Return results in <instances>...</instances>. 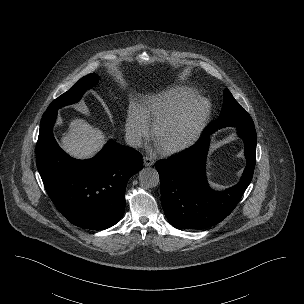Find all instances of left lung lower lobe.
<instances>
[{
  "label": "left lung lower lobe",
  "instance_id": "1",
  "mask_svg": "<svg viewBox=\"0 0 304 304\" xmlns=\"http://www.w3.org/2000/svg\"><path fill=\"white\" fill-rule=\"evenodd\" d=\"M245 145L246 168L240 182L224 192L213 191L206 180L205 163L210 134L190 149L167 160H159L161 203L168 221L178 229H203L226 218L250 184L256 161L255 127L234 126Z\"/></svg>",
  "mask_w": 304,
  "mask_h": 304
}]
</instances>
